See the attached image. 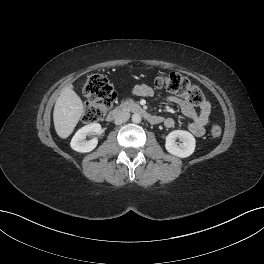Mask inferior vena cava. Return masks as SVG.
Returning <instances> with one entry per match:
<instances>
[{
  "label": "inferior vena cava",
  "mask_w": 264,
  "mask_h": 264,
  "mask_svg": "<svg viewBox=\"0 0 264 264\" xmlns=\"http://www.w3.org/2000/svg\"><path fill=\"white\" fill-rule=\"evenodd\" d=\"M130 118V113L129 112H121L119 113L116 118H115V124L120 125L126 121H128Z\"/></svg>",
  "instance_id": "1"
}]
</instances>
